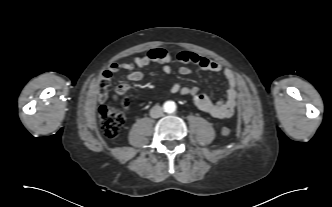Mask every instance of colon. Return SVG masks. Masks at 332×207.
Segmentation results:
<instances>
[{
	"mask_svg": "<svg viewBox=\"0 0 332 207\" xmlns=\"http://www.w3.org/2000/svg\"><path fill=\"white\" fill-rule=\"evenodd\" d=\"M124 86V84L118 86L116 90V94L113 96L114 102H120L121 108L126 109L128 107V99L126 97L120 98L119 95L124 91H120V88ZM102 99H105L106 93L104 89L101 91ZM121 108L117 106L111 105L108 102H103L99 106V119H100V127L103 135L107 138H115L120 133V130L124 124L125 116L124 112ZM222 134L224 136H229L231 134V129L228 126H224L222 128Z\"/></svg>",
	"mask_w": 332,
	"mask_h": 207,
	"instance_id": "obj_1",
	"label": "colon"
}]
</instances>
